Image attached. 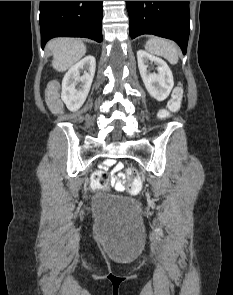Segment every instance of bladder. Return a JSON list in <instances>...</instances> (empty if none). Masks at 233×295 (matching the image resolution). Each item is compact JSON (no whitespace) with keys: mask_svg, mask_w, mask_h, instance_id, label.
Instances as JSON below:
<instances>
[{"mask_svg":"<svg viewBox=\"0 0 233 295\" xmlns=\"http://www.w3.org/2000/svg\"><path fill=\"white\" fill-rule=\"evenodd\" d=\"M92 207L101 221H137V204L128 197L98 190L92 198Z\"/></svg>","mask_w":233,"mask_h":295,"instance_id":"31cf9c89","label":"bladder"}]
</instances>
